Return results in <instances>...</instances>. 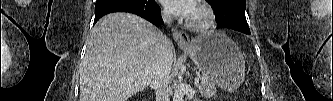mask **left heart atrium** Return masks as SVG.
Here are the masks:
<instances>
[{"mask_svg":"<svg viewBox=\"0 0 333 101\" xmlns=\"http://www.w3.org/2000/svg\"><path fill=\"white\" fill-rule=\"evenodd\" d=\"M163 5L166 11L185 17H189L195 8L192 0H164Z\"/></svg>","mask_w":333,"mask_h":101,"instance_id":"39dd6f15","label":"left heart atrium"}]
</instances>
